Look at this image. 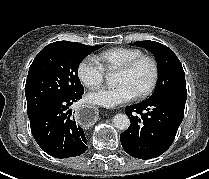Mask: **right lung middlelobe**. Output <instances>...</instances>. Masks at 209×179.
<instances>
[{
	"label": "right lung middle lobe",
	"instance_id": "right-lung-middle-lobe-1",
	"mask_svg": "<svg viewBox=\"0 0 209 179\" xmlns=\"http://www.w3.org/2000/svg\"><path fill=\"white\" fill-rule=\"evenodd\" d=\"M100 46L57 41L44 47L31 64L25 85L28 117L48 103L84 93L80 62Z\"/></svg>",
	"mask_w": 209,
	"mask_h": 179
}]
</instances>
